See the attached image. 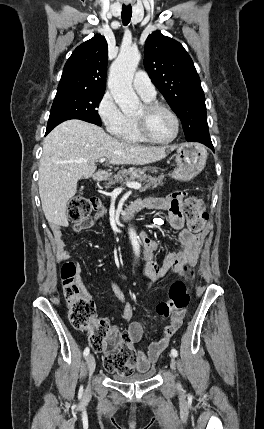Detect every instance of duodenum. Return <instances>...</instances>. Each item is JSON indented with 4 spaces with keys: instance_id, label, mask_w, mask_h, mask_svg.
<instances>
[{
    "instance_id": "1",
    "label": "duodenum",
    "mask_w": 264,
    "mask_h": 429,
    "mask_svg": "<svg viewBox=\"0 0 264 429\" xmlns=\"http://www.w3.org/2000/svg\"><path fill=\"white\" fill-rule=\"evenodd\" d=\"M92 179L94 181H100L103 179V175L101 173H95L92 176ZM143 209V207L141 205H132L129 209H127L124 214H123V218L124 219H128L131 218L133 216H135L138 212H140Z\"/></svg>"
}]
</instances>
